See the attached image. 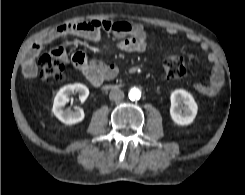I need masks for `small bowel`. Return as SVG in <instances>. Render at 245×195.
Returning a JSON list of instances; mask_svg holds the SVG:
<instances>
[{
  "label": "small bowel",
  "mask_w": 245,
  "mask_h": 195,
  "mask_svg": "<svg viewBox=\"0 0 245 195\" xmlns=\"http://www.w3.org/2000/svg\"><path fill=\"white\" fill-rule=\"evenodd\" d=\"M103 32L115 36L117 38V47L123 51L144 52L147 48L148 36L144 26L141 24L111 20H92L63 24L48 31L30 46L23 63L25 75L28 78L35 77L37 72L35 58L44 46L53 41L65 36H75L93 42H100ZM167 32L174 35L177 31L174 28H169ZM186 38L200 46L212 66L209 81L195 83V90L209 97L216 95L222 89L225 81L223 66L218 56L210 49L209 44L198 35L187 33ZM51 54L63 60L67 59L66 51L61 46L54 47L51 50ZM71 60L73 65L93 85H100L104 81L113 79L118 74V67L115 64L105 63L98 59L88 60L82 52L73 54Z\"/></svg>",
  "instance_id": "obj_1"
}]
</instances>
